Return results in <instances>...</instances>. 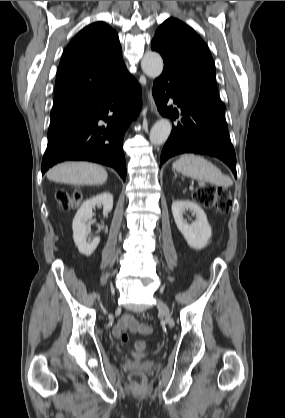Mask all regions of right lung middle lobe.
Listing matches in <instances>:
<instances>
[{
	"mask_svg": "<svg viewBox=\"0 0 285 418\" xmlns=\"http://www.w3.org/2000/svg\"><path fill=\"white\" fill-rule=\"evenodd\" d=\"M72 108H74V107L52 109L51 110V119H54V118L62 115L63 113L69 111Z\"/></svg>",
	"mask_w": 285,
	"mask_h": 418,
	"instance_id": "1",
	"label": "right lung middle lobe"
}]
</instances>
